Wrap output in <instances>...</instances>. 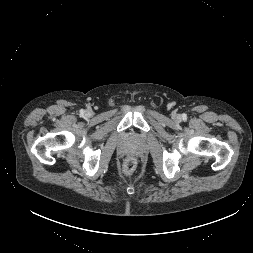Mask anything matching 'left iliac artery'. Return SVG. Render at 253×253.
<instances>
[{
    "label": "left iliac artery",
    "instance_id": "obj_1",
    "mask_svg": "<svg viewBox=\"0 0 253 253\" xmlns=\"http://www.w3.org/2000/svg\"><path fill=\"white\" fill-rule=\"evenodd\" d=\"M183 118H186V115H185V114L183 115Z\"/></svg>",
    "mask_w": 253,
    "mask_h": 253
}]
</instances>
